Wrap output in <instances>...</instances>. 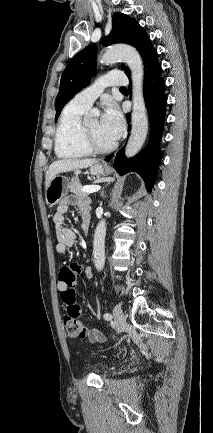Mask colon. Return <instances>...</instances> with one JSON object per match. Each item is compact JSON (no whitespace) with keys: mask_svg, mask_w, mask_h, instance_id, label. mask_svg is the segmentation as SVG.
I'll use <instances>...</instances> for the list:
<instances>
[{"mask_svg":"<svg viewBox=\"0 0 213 433\" xmlns=\"http://www.w3.org/2000/svg\"><path fill=\"white\" fill-rule=\"evenodd\" d=\"M76 279L77 273L74 267L66 266L60 270L59 281L65 285V289L61 292L62 300L66 305L64 326L70 337H89L91 340H94L98 337L97 331H89L80 320L82 309L81 306L76 302Z\"/></svg>","mask_w":213,"mask_h":433,"instance_id":"1","label":"colon"}]
</instances>
